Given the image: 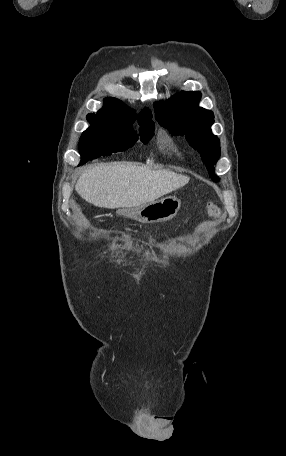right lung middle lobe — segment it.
Segmentation results:
<instances>
[{
    "label": "right lung middle lobe",
    "mask_w": 286,
    "mask_h": 456,
    "mask_svg": "<svg viewBox=\"0 0 286 456\" xmlns=\"http://www.w3.org/2000/svg\"><path fill=\"white\" fill-rule=\"evenodd\" d=\"M91 126L82 133L79 140L80 165L99 156L124 151L134 145L138 136L132 128L134 121L122 120L105 114H88ZM140 137L147 143L155 128L152 120L138 121Z\"/></svg>",
    "instance_id": "right-lung-middle-lobe-1"
}]
</instances>
